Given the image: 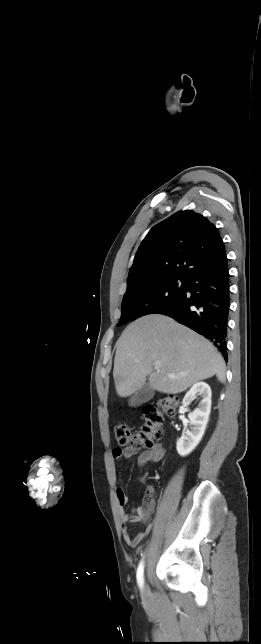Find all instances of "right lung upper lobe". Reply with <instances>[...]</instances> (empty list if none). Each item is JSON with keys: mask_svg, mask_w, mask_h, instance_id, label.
<instances>
[{"mask_svg": "<svg viewBox=\"0 0 261 644\" xmlns=\"http://www.w3.org/2000/svg\"><path fill=\"white\" fill-rule=\"evenodd\" d=\"M226 258L218 229L193 211H180L154 226L130 268L127 289L193 272Z\"/></svg>", "mask_w": 261, "mask_h": 644, "instance_id": "1", "label": "right lung upper lobe"}]
</instances>
